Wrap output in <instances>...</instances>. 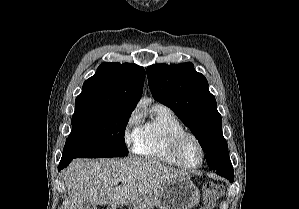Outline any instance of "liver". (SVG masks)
I'll list each match as a JSON object with an SVG mask.
<instances>
[{
	"label": "liver",
	"instance_id": "obj_1",
	"mask_svg": "<svg viewBox=\"0 0 299 209\" xmlns=\"http://www.w3.org/2000/svg\"><path fill=\"white\" fill-rule=\"evenodd\" d=\"M181 177L189 176L156 160L137 157L86 162L77 159L64 172L69 209H81L84 202L110 206L134 202ZM116 180H120V186Z\"/></svg>",
	"mask_w": 299,
	"mask_h": 209
}]
</instances>
